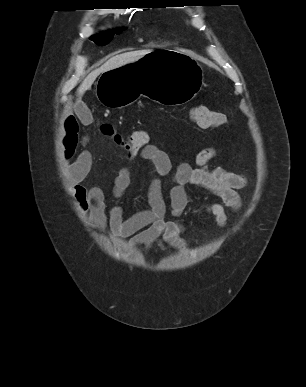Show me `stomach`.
<instances>
[{
  "mask_svg": "<svg viewBox=\"0 0 306 387\" xmlns=\"http://www.w3.org/2000/svg\"><path fill=\"white\" fill-rule=\"evenodd\" d=\"M202 83L203 69L197 61L166 46H153L152 52L136 63L104 70L96 93L110 108L131 105L140 95L166 108H179L190 104Z\"/></svg>",
  "mask_w": 306,
  "mask_h": 387,
  "instance_id": "1",
  "label": "stomach"
}]
</instances>
